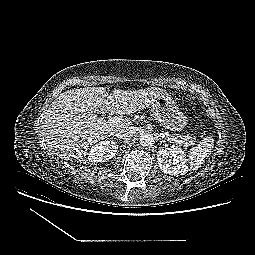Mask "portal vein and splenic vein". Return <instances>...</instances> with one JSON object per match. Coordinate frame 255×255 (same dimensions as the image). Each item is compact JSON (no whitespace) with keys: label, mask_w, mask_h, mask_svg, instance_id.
Returning a JSON list of instances; mask_svg holds the SVG:
<instances>
[{"label":"portal vein and splenic vein","mask_w":255,"mask_h":255,"mask_svg":"<svg viewBox=\"0 0 255 255\" xmlns=\"http://www.w3.org/2000/svg\"><path fill=\"white\" fill-rule=\"evenodd\" d=\"M107 121L112 124H120L124 122V119L120 117H110ZM162 137H164V135Z\"/></svg>","instance_id":"18ae733b"}]
</instances>
